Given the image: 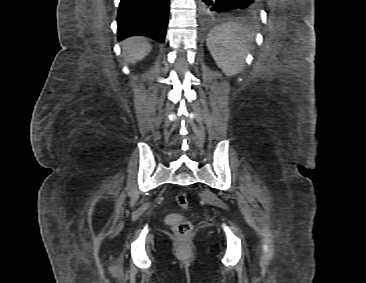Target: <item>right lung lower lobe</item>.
<instances>
[{"instance_id": "98d812e1", "label": "right lung lower lobe", "mask_w": 366, "mask_h": 283, "mask_svg": "<svg viewBox=\"0 0 366 283\" xmlns=\"http://www.w3.org/2000/svg\"><path fill=\"white\" fill-rule=\"evenodd\" d=\"M169 0H120L117 23L119 41L144 35L163 43Z\"/></svg>"}]
</instances>
